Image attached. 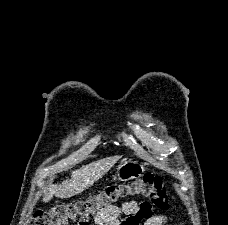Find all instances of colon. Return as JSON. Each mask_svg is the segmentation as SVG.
<instances>
[{"instance_id": "colon-1", "label": "colon", "mask_w": 228, "mask_h": 225, "mask_svg": "<svg viewBox=\"0 0 228 225\" xmlns=\"http://www.w3.org/2000/svg\"><path fill=\"white\" fill-rule=\"evenodd\" d=\"M143 194L160 209L169 205V194L165 182L159 176L144 175L141 179L127 185H114L85 201L72 204L56 205L36 210L31 225H90L94 217L105 205L114 208L121 197L140 196Z\"/></svg>"}]
</instances>
